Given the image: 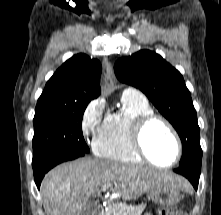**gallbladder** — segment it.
Wrapping results in <instances>:
<instances>
[{
    "mask_svg": "<svg viewBox=\"0 0 221 215\" xmlns=\"http://www.w3.org/2000/svg\"><path fill=\"white\" fill-rule=\"evenodd\" d=\"M93 210H94V203L90 202V203L87 204V206H86V208H85L82 215H92Z\"/></svg>",
    "mask_w": 221,
    "mask_h": 215,
    "instance_id": "1",
    "label": "gallbladder"
}]
</instances>
